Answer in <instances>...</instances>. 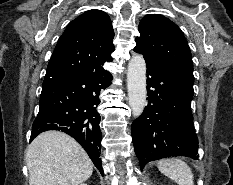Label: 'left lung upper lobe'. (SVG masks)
I'll return each instance as SVG.
<instances>
[{"instance_id":"obj_1","label":"left lung upper lobe","mask_w":233,"mask_h":185,"mask_svg":"<svg viewBox=\"0 0 233 185\" xmlns=\"http://www.w3.org/2000/svg\"><path fill=\"white\" fill-rule=\"evenodd\" d=\"M138 30L140 36L135 39L134 49L145 60L193 72L190 48L175 23L162 15L150 14L142 18Z\"/></svg>"}]
</instances>
